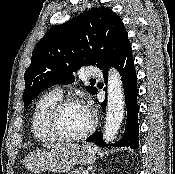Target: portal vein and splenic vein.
<instances>
[{"label":"portal vein and splenic vein","instance_id":"portal-vein-and-splenic-vein-1","mask_svg":"<svg viewBox=\"0 0 175 174\" xmlns=\"http://www.w3.org/2000/svg\"><path fill=\"white\" fill-rule=\"evenodd\" d=\"M82 174H88V171H83V173Z\"/></svg>","mask_w":175,"mask_h":174}]
</instances>
